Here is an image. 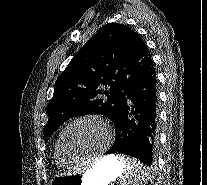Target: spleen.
Segmentation results:
<instances>
[{
  "label": "spleen",
  "mask_w": 207,
  "mask_h": 185,
  "mask_svg": "<svg viewBox=\"0 0 207 185\" xmlns=\"http://www.w3.org/2000/svg\"><path fill=\"white\" fill-rule=\"evenodd\" d=\"M119 163H123L124 174L119 178L120 185H143L146 179H154V174H149V166L142 163V159L128 158V153L122 154Z\"/></svg>",
  "instance_id": "1"
}]
</instances>
